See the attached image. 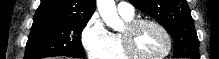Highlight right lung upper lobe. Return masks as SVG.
Here are the masks:
<instances>
[{
	"label": "right lung upper lobe",
	"mask_w": 219,
	"mask_h": 59,
	"mask_svg": "<svg viewBox=\"0 0 219 59\" xmlns=\"http://www.w3.org/2000/svg\"><path fill=\"white\" fill-rule=\"evenodd\" d=\"M96 8V0H41L35 16L53 15L90 19Z\"/></svg>",
	"instance_id": "right-lung-upper-lobe-1"
}]
</instances>
